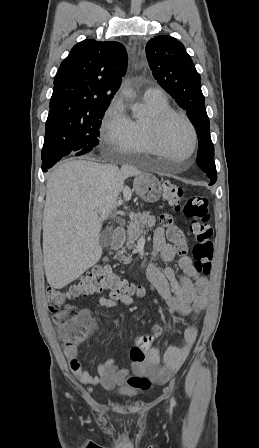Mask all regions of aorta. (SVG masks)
<instances>
[{
  "label": "aorta",
  "instance_id": "762f6f07",
  "mask_svg": "<svg viewBox=\"0 0 259 448\" xmlns=\"http://www.w3.org/2000/svg\"><path fill=\"white\" fill-rule=\"evenodd\" d=\"M121 93L127 98L133 96V92L131 90H129L128 88H123Z\"/></svg>",
  "mask_w": 259,
  "mask_h": 448
}]
</instances>
